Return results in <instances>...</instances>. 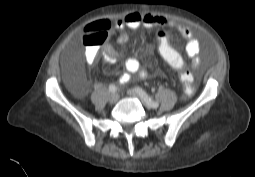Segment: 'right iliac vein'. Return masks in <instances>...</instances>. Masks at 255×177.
<instances>
[{"instance_id":"right-iliac-vein-1","label":"right iliac vein","mask_w":255,"mask_h":177,"mask_svg":"<svg viewBox=\"0 0 255 177\" xmlns=\"http://www.w3.org/2000/svg\"><path fill=\"white\" fill-rule=\"evenodd\" d=\"M118 100H119V95H118L117 93H113V94H111L110 97H109V102H110L111 104L116 103Z\"/></svg>"}]
</instances>
